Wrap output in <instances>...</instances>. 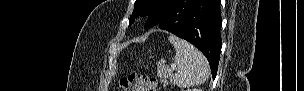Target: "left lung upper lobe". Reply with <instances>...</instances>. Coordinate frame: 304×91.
Masks as SVG:
<instances>
[{"mask_svg": "<svg viewBox=\"0 0 304 91\" xmlns=\"http://www.w3.org/2000/svg\"><path fill=\"white\" fill-rule=\"evenodd\" d=\"M175 1L176 0H136L134 11L130 16V24L133 23L134 18L140 15L146 16L148 11H150L152 17L147 21L145 29L153 27L164 18Z\"/></svg>", "mask_w": 304, "mask_h": 91, "instance_id": "left-lung-upper-lobe-1", "label": "left lung upper lobe"}]
</instances>
